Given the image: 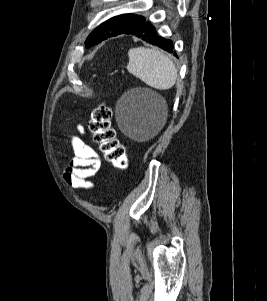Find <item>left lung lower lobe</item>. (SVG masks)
Wrapping results in <instances>:
<instances>
[{"instance_id":"0a47b994","label":"left lung lower lobe","mask_w":267,"mask_h":301,"mask_svg":"<svg viewBox=\"0 0 267 301\" xmlns=\"http://www.w3.org/2000/svg\"><path fill=\"white\" fill-rule=\"evenodd\" d=\"M123 34L134 35L142 40H145L146 42H149L151 44L159 46L160 48H162L170 53L173 52L174 46H173L172 41L158 36L156 34L155 28L151 25L150 22L143 21L136 27L126 31ZM117 35H113V36H117ZM174 55H176L175 52H174Z\"/></svg>"}]
</instances>
